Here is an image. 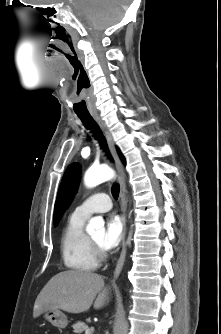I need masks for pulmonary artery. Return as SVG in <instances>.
Returning a JSON list of instances; mask_svg holds the SVG:
<instances>
[{
    "instance_id": "pulmonary-artery-1",
    "label": "pulmonary artery",
    "mask_w": 221,
    "mask_h": 334,
    "mask_svg": "<svg viewBox=\"0 0 221 334\" xmlns=\"http://www.w3.org/2000/svg\"><path fill=\"white\" fill-rule=\"evenodd\" d=\"M112 208V201L108 194L97 192L85 199L75 208L73 214L87 219L94 213L107 212Z\"/></svg>"
}]
</instances>
